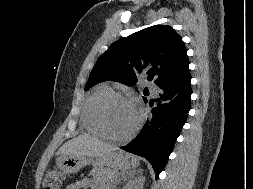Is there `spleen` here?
<instances>
[{
  "instance_id": "3e777b00",
  "label": "spleen",
  "mask_w": 253,
  "mask_h": 189,
  "mask_svg": "<svg viewBox=\"0 0 253 189\" xmlns=\"http://www.w3.org/2000/svg\"><path fill=\"white\" fill-rule=\"evenodd\" d=\"M132 166L135 168L137 166H139V160L137 158H133L132 159Z\"/></svg>"
}]
</instances>
